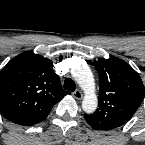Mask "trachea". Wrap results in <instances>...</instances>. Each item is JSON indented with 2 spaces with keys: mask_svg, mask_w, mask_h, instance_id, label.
<instances>
[{
  "mask_svg": "<svg viewBox=\"0 0 145 145\" xmlns=\"http://www.w3.org/2000/svg\"><path fill=\"white\" fill-rule=\"evenodd\" d=\"M64 89L68 90V91H71V92L75 91V89H76L75 82L71 78L65 79V81H64Z\"/></svg>",
  "mask_w": 145,
  "mask_h": 145,
  "instance_id": "trachea-1",
  "label": "trachea"
}]
</instances>
